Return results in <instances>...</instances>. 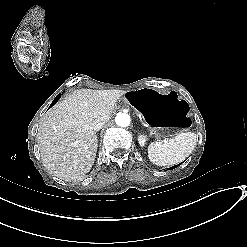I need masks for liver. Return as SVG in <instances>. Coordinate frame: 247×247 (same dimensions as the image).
<instances>
[{"mask_svg": "<svg viewBox=\"0 0 247 247\" xmlns=\"http://www.w3.org/2000/svg\"><path fill=\"white\" fill-rule=\"evenodd\" d=\"M115 106L116 100L106 90L80 89L47 111L37 133L45 169L67 182L86 178L98 149L93 126L106 123Z\"/></svg>", "mask_w": 247, "mask_h": 247, "instance_id": "liver-1", "label": "liver"}]
</instances>
